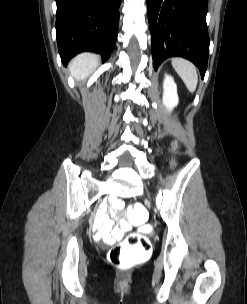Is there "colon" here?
<instances>
[{
	"label": "colon",
	"mask_w": 247,
	"mask_h": 304,
	"mask_svg": "<svg viewBox=\"0 0 247 304\" xmlns=\"http://www.w3.org/2000/svg\"><path fill=\"white\" fill-rule=\"evenodd\" d=\"M126 211L129 218L123 219L124 225H144V227L139 230L141 233H131L120 244L109 248V262L120 267H128L144 259H150V253H153L152 241L144 236L151 230V225L147 224L149 214L145 202H129Z\"/></svg>",
	"instance_id": "obj_1"
}]
</instances>
